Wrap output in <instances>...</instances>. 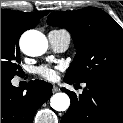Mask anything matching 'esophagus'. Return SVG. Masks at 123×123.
<instances>
[{
	"mask_svg": "<svg viewBox=\"0 0 123 123\" xmlns=\"http://www.w3.org/2000/svg\"><path fill=\"white\" fill-rule=\"evenodd\" d=\"M58 90H59L58 87L56 85H53L52 91L57 92Z\"/></svg>",
	"mask_w": 123,
	"mask_h": 123,
	"instance_id": "obj_1",
	"label": "esophagus"
}]
</instances>
